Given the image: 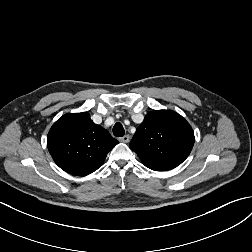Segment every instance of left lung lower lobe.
I'll return each instance as SVG.
<instances>
[{
  "label": "left lung lower lobe",
  "instance_id": "1",
  "mask_svg": "<svg viewBox=\"0 0 252 252\" xmlns=\"http://www.w3.org/2000/svg\"><path fill=\"white\" fill-rule=\"evenodd\" d=\"M178 165H180V164L176 163V162H160V163H155V164L149 166L148 168L155 170V171H166V170L173 169V168L177 167Z\"/></svg>",
  "mask_w": 252,
  "mask_h": 252
}]
</instances>
